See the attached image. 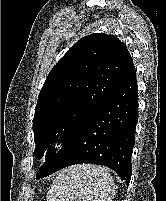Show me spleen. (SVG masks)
Segmentation results:
<instances>
[{
    "mask_svg": "<svg viewBox=\"0 0 166 201\" xmlns=\"http://www.w3.org/2000/svg\"><path fill=\"white\" fill-rule=\"evenodd\" d=\"M112 176L101 166L75 165L59 172L46 201H112Z\"/></svg>",
    "mask_w": 166,
    "mask_h": 201,
    "instance_id": "3e777b00",
    "label": "spleen"
}]
</instances>
